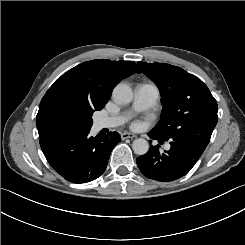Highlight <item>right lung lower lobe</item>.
<instances>
[{
  "label": "right lung lower lobe",
  "mask_w": 245,
  "mask_h": 245,
  "mask_svg": "<svg viewBox=\"0 0 245 245\" xmlns=\"http://www.w3.org/2000/svg\"><path fill=\"white\" fill-rule=\"evenodd\" d=\"M90 129L55 131L40 136L41 149L52 168L72 183L100 177L113 147L121 141L117 132L89 137Z\"/></svg>",
  "instance_id": "right-lung-lower-lobe-1"
}]
</instances>
